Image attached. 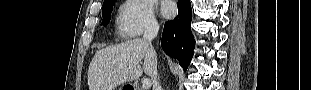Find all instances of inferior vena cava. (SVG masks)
I'll return each mask as SVG.
<instances>
[{
	"mask_svg": "<svg viewBox=\"0 0 311 90\" xmlns=\"http://www.w3.org/2000/svg\"><path fill=\"white\" fill-rule=\"evenodd\" d=\"M159 31V25L158 23L154 22L149 24L145 28V32L143 35V48L146 56V65L149 67V70H152L151 72V79L153 81V87L155 90H162L158 79H157V70H158V61L156 58L157 50L153 47L152 40L157 37Z\"/></svg>",
	"mask_w": 311,
	"mask_h": 90,
	"instance_id": "602c4592",
	"label": "inferior vena cava"
}]
</instances>
